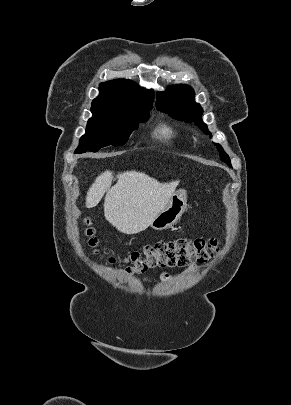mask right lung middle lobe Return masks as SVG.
<instances>
[{"mask_svg": "<svg viewBox=\"0 0 291 405\" xmlns=\"http://www.w3.org/2000/svg\"><path fill=\"white\" fill-rule=\"evenodd\" d=\"M151 108L136 111L91 110L86 133L80 139L75 154L96 152L106 146L124 145L138 124L149 117Z\"/></svg>", "mask_w": 291, "mask_h": 405, "instance_id": "dd1d6c3e", "label": "right lung middle lobe"}]
</instances>
